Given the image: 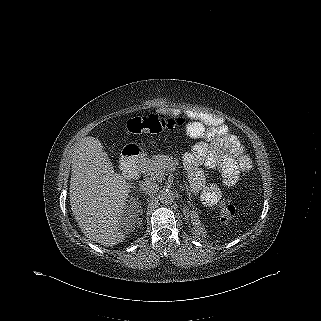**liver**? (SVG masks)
<instances>
[{"instance_id": "6515ba94", "label": "liver", "mask_w": 321, "mask_h": 321, "mask_svg": "<svg viewBox=\"0 0 321 321\" xmlns=\"http://www.w3.org/2000/svg\"><path fill=\"white\" fill-rule=\"evenodd\" d=\"M133 177L114 172L102 142L88 136L78 144L69 188L72 216L90 241L115 246L127 238L125 213Z\"/></svg>"}]
</instances>
